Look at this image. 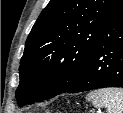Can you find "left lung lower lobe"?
<instances>
[{
	"label": "left lung lower lobe",
	"instance_id": "left-lung-lower-lobe-1",
	"mask_svg": "<svg viewBox=\"0 0 123 113\" xmlns=\"http://www.w3.org/2000/svg\"><path fill=\"white\" fill-rule=\"evenodd\" d=\"M123 87V0L104 19L76 83L64 93Z\"/></svg>",
	"mask_w": 123,
	"mask_h": 113
}]
</instances>
